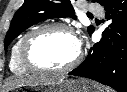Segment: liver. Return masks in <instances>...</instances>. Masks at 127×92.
I'll list each match as a JSON object with an SVG mask.
<instances>
[{"mask_svg": "<svg viewBox=\"0 0 127 92\" xmlns=\"http://www.w3.org/2000/svg\"><path fill=\"white\" fill-rule=\"evenodd\" d=\"M63 80L60 76H45L41 75L38 77H18L9 79L3 87V92L11 91L21 86H36L39 84L48 85L54 84L58 81Z\"/></svg>", "mask_w": 127, "mask_h": 92, "instance_id": "1", "label": "liver"}]
</instances>
